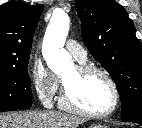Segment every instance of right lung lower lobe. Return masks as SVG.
<instances>
[{
    "label": "right lung lower lobe",
    "instance_id": "1",
    "mask_svg": "<svg viewBox=\"0 0 142 128\" xmlns=\"http://www.w3.org/2000/svg\"><path fill=\"white\" fill-rule=\"evenodd\" d=\"M4 111H13V110H2V111H0V112H4Z\"/></svg>",
    "mask_w": 142,
    "mask_h": 128
}]
</instances>
